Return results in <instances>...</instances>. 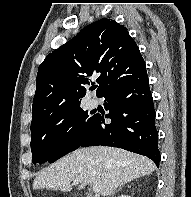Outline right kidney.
Instances as JSON below:
<instances>
[{"instance_id": "ca27d5eb", "label": "right kidney", "mask_w": 191, "mask_h": 197, "mask_svg": "<svg viewBox=\"0 0 191 197\" xmlns=\"http://www.w3.org/2000/svg\"><path fill=\"white\" fill-rule=\"evenodd\" d=\"M118 197H130V196H128V195H121V196H118Z\"/></svg>"}]
</instances>
